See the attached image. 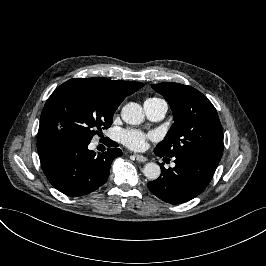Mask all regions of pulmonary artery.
<instances>
[{
    "mask_svg": "<svg viewBox=\"0 0 266 266\" xmlns=\"http://www.w3.org/2000/svg\"><path fill=\"white\" fill-rule=\"evenodd\" d=\"M147 116L154 121L162 119L168 109L167 103L161 98L149 99L144 102Z\"/></svg>",
    "mask_w": 266,
    "mask_h": 266,
    "instance_id": "1",
    "label": "pulmonary artery"
}]
</instances>
